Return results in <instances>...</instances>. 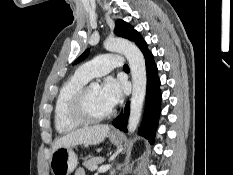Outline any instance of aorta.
Here are the masks:
<instances>
[{
  "label": "aorta",
  "instance_id": "aorta-1",
  "mask_svg": "<svg viewBox=\"0 0 233 175\" xmlns=\"http://www.w3.org/2000/svg\"><path fill=\"white\" fill-rule=\"evenodd\" d=\"M107 51L123 54L129 62L133 91L130 104V115L128 119L129 133L135 132L142 113L143 103L146 94V67L145 60L140 49L132 42L122 38H112L104 42ZM93 87H98V83H92Z\"/></svg>",
  "mask_w": 233,
  "mask_h": 175
}]
</instances>
